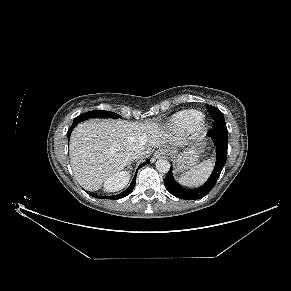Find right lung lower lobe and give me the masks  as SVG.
<instances>
[{"instance_id":"obj_1","label":"right lung lower lobe","mask_w":291,"mask_h":291,"mask_svg":"<svg viewBox=\"0 0 291 291\" xmlns=\"http://www.w3.org/2000/svg\"><path fill=\"white\" fill-rule=\"evenodd\" d=\"M77 124H78V123L73 122L72 126L69 128V130H68V132H67V137H68V139L70 138L71 132H72V130L74 129V127H75ZM148 163H149V160L146 161V162H144V163H142V164L138 167V169H139L140 167H142V166L148 164ZM138 169H137V171H138ZM136 174H137V173H135V176H134V178H133V180H132L130 186H129L125 191L121 192L120 194L113 195V196H107V197H104V198H105V199H120V198H123V197H126L127 195H129V194L133 191V188H134V186H135V183H136ZM93 196L96 197V198H100V199L103 198V196H97V195H93Z\"/></svg>"}]
</instances>
